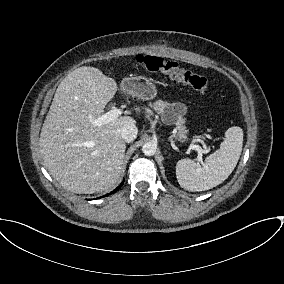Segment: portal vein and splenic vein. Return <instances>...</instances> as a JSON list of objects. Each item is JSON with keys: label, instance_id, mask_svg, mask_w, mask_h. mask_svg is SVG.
<instances>
[{"label": "portal vein and splenic vein", "instance_id": "18ae733b", "mask_svg": "<svg viewBox=\"0 0 284 284\" xmlns=\"http://www.w3.org/2000/svg\"><path fill=\"white\" fill-rule=\"evenodd\" d=\"M122 114V110L118 108H113L107 113L101 115L96 120L93 121L94 125L102 126L109 122L116 120ZM189 149L195 150L198 152L197 161L202 162V155L208 152V149H203L199 145H191Z\"/></svg>", "mask_w": 284, "mask_h": 284}]
</instances>
